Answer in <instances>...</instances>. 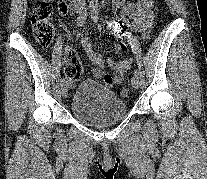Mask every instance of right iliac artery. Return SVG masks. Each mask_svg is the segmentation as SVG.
Wrapping results in <instances>:
<instances>
[{
    "instance_id": "82829eb1",
    "label": "right iliac artery",
    "mask_w": 207,
    "mask_h": 179,
    "mask_svg": "<svg viewBox=\"0 0 207 179\" xmlns=\"http://www.w3.org/2000/svg\"><path fill=\"white\" fill-rule=\"evenodd\" d=\"M87 16H88V11L87 9L85 8V10L83 12H81L80 16L78 17L77 19V26L78 27H81L83 26V24L85 23L86 19H87ZM65 83V80L62 79L61 80V84L63 85Z\"/></svg>"
}]
</instances>
